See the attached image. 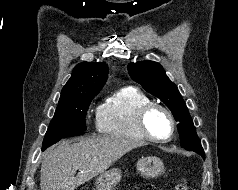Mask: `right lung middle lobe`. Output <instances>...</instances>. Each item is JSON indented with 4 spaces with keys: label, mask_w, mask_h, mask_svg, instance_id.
<instances>
[{
    "label": "right lung middle lobe",
    "mask_w": 238,
    "mask_h": 190,
    "mask_svg": "<svg viewBox=\"0 0 238 190\" xmlns=\"http://www.w3.org/2000/svg\"><path fill=\"white\" fill-rule=\"evenodd\" d=\"M96 95L82 94L69 101L59 102L45 134L42 150L66 136L78 135L86 130V113Z\"/></svg>",
    "instance_id": "obj_1"
}]
</instances>
